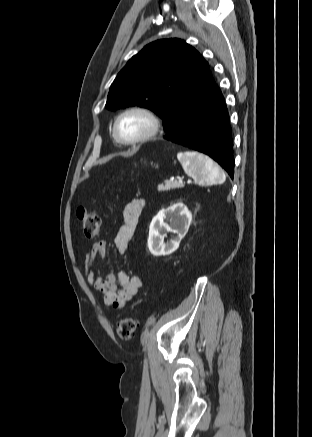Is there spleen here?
Listing matches in <instances>:
<instances>
[{
	"instance_id": "obj_1",
	"label": "spleen",
	"mask_w": 312,
	"mask_h": 437,
	"mask_svg": "<svg viewBox=\"0 0 312 437\" xmlns=\"http://www.w3.org/2000/svg\"><path fill=\"white\" fill-rule=\"evenodd\" d=\"M177 158L185 173L199 184H222L225 173L211 158L195 151L179 152Z\"/></svg>"
}]
</instances>
